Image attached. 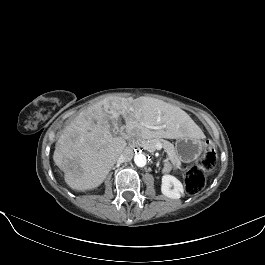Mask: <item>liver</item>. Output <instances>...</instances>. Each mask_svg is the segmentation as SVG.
Returning a JSON list of instances; mask_svg holds the SVG:
<instances>
[{
  "instance_id": "liver-1",
  "label": "liver",
  "mask_w": 265,
  "mask_h": 265,
  "mask_svg": "<svg viewBox=\"0 0 265 265\" xmlns=\"http://www.w3.org/2000/svg\"><path fill=\"white\" fill-rule=\"evenodd\" d=\"M119 115L127 127L138 126L147 137H203L201 129L179 107L155 98L107 97L81 111L56 142L53 160L70 188L89 190L103 183L127 145L111 131L109 120Z\"/></svg>"
}]
</instances>
